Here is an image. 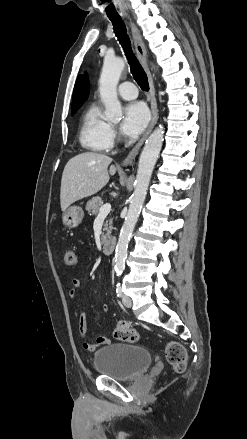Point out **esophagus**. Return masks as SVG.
Here are the masks:
<instances>
[{"label": "esophagus", "instance_id": "1", "mask_svg": "<svg viewBox=\"0 0 247 439\" xmlns=\"http://www.w3.org/2000/svg\"><path fill=\"white\" fill-rule=\"evenodd\" d=\"M129 24H130V28L132 31V36L134 39V44H135L137 55L139 57L141 65L144 68L146 75H147V78H148L149 98H150V104H151L152 117H151L150 124H149L147 130L145 131L144 135L138 141V143L134 146V148L130 151L128 156L124 159V161L122 163L123 166H127L133 162L135 157L138 155L139 150L142 147L144 141L146 140V138L148 137V135L151 133L152 129L154 128V126L157 122V119H158V108H157V100H156V96H155V87H154L152 75H151V72L149 70L148 63H147L146 47H145L144 41L141 37L139 29L134 24V22L131 21V19L129 20Z\"/></svg>", "mask_w": 247, "mask_h": 439}]
</instances>
